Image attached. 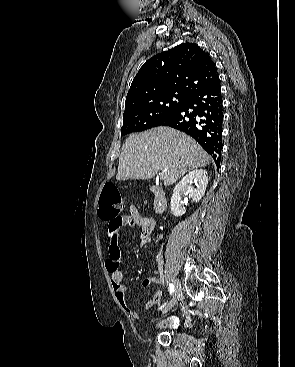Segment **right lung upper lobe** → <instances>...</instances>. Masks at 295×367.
I'll use <instances>...</instances> for the list:
<instances>
[{
  "instance_id": "obj_1",
  "label": "right lung upper lobe",
  "mask_w": 295,
  "mask_h": 367,
  "mask_svg": "<svg viewBox=\"0 0 295 367\" xmlns=\"http://www.w3.org/2000/svg\"><path fill=\"white\" fill-rule=\"evenodd\" d=\"M218 78L208 53L193 43H183L150 58L136 74L125 110L138 100L175 93L189 96Z\"/></svg>"
}]
</instances>
